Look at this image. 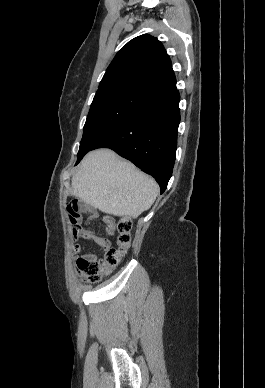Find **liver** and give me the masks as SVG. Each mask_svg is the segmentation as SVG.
Returning a JSON list of instances; mask_svg holds the SVG:
<instances>
[{"mask_svg": "<svg viewBox=\"0 0 265 388\" xmlns=\"http://www.w3.org/2000/svg\"><path fill=\"white\" fill-rule=\"evenodd\" d=\"M159 186L154 178L120 160L112 150L89 152L72 178L71 194L111 216L138 218L154 204Z\"/></svg>", "mask_w": 265, "mask_h": 388, "instance_id": "liver-1", "label": "liver"}]
</instances>
